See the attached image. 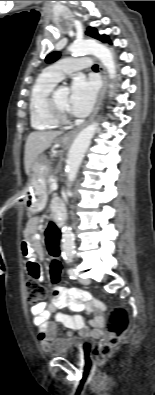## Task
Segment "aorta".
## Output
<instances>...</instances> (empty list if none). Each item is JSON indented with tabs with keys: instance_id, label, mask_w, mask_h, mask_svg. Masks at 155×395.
<instances>
[{
	"instance_id": "1",
	"label": "aorta",
	"mask_w": 155,
	"mask_h": 395,
	"mask_svg": "<svg viewBox=\"0 0 155 395\" xmlns=\"http://www.w3.org/2000/svg\"><path fill=\"white\" fill-rule=\"evenodd\" d=\"M69 50L72 53H76V54L94 55L101 61V63L106 68L109 78L110 79L116 78V66H115L113 54L111 50L106 46H104L103 44L94 40L84 39L80 41H75L69 47ZM110 88L113 89V85H110ZM98 126H99L98 122H93L92 124L82 129L79 132V134L76 136L69 150L67 167H66L68 190L70 189L72 182H74L77 176L85 152L90 146L91 139L95 135ZM62 251H63V256L66 260H71L74 257L75 254L74 235L71 231V228L68 226H64L62 228Z\"/></svg>"
}]
</instances>
